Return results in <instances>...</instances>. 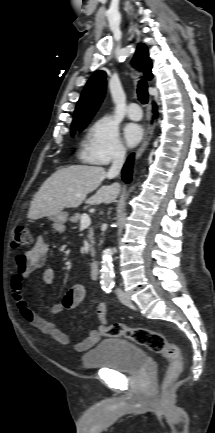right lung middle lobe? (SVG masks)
Instances as JSON below:
<instances>
[{"instance_id":"obj_1","label":"right lung middle lobe","mask_w":215,"mask_h":433,"mask_svg":"<svg viewBox=\"0 0 215 433\" xmlns=\"http://www.w3.org/2000/svg\"><path fill=\"white\" fill-rule=\"evenodd\" d=\"M89 122L90 121L72 123L71 126L72 135L75 133L76 130L79 131L83 130Z\"/></svg>"}]
</instances>
